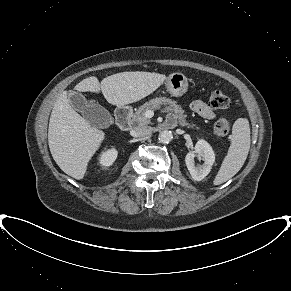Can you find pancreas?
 <instances>
[{
  "label": "pancreas",
  "mask_w": 291,
  "mask_h": 291,
  "mask_svg": "<svg viewBox=\"0 0 291 291\" xmlns=\"http://www.w3.org/2000/svg\"><path fill=\"white\" fill-rule=\"evenodd\" d=\"M161 106H165V110L173 111L178 118L179 125L182 127L193 128L195 124H190L186 121V114L180 105L176 101L171 100L165 97H157L150 100L149 102L144 103L140 106L132 117V121L138 126L147 125L150 123V119L145 116L147 110H158Z\"/></svg>",
  "instance_id": "obj_1"
}]
</instances>
